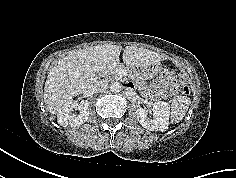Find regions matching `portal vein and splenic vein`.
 Returning <instances> with one entry per match:
<instances>
[{"label":"portal vein and splenic vein","instance_id":"portal-vein-and-splenic-vein-1","mask_svg":"<svg viewBox=\"0 0 236 178\" xmlns=\"http://www.w3.org/2000/svg\"><path fill=\"white\" fill-rule=\"evenodd\" d=\"M119 74L122 76V75H127L126 74V71H124V70H121L120 72H119Z\"/></svg>","mask_w":236,"mask_h":178}]
</instances>
